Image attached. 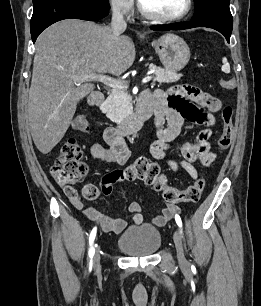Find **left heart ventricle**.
I'll list each match as a JSON object with an SVG mask.
<instances>
[{
	"label": "left heart ventricle",
	"instance_id": "b2bd125f",
	"mask_svg": "<svg viewBox=\"0 0 261 306\" xmlns=\"http://www.w3.org/2000/svg\"><path fill=\"white\" fill-rule=\"evenodd\" d=\"M141 1L148 9L165 16L177 15L181 13L186 6V0H141Z\"/></svg>",
	"mask_w": 261,
	"mask_h": 306
}]
</instances>
